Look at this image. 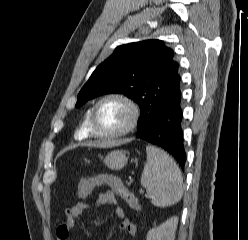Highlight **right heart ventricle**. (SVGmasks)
Returning a JSON list of instances; mask_svg holds the SVG:
<instances>
[{"label": "right heart ventricle", "mask_w": 248, "mask_h": 240, "mask_svg": "<svg viewBox=\"0 0 248 240\" xmlns=\"http://www.w3.org/2000/svg\"><path fill=\"white\" fill-rule=\"evenodd\" d=\"M90 114H91V108L86 110L82 118V121L75 132V137L79 140L86 139L91 135L89 128Z\"/></svg>", "instance_id": "right-heart-ventricle-1"}]
</instances>
